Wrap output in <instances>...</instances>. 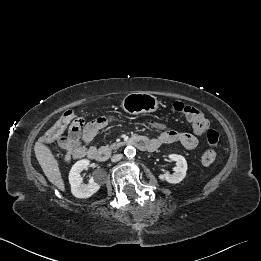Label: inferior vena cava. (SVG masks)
I'll list each match as a JSON object with an SVG mask.
<instances>
[{
    "instance_id": "inferior-vena-cava-1",
    "label": "inferior vena cava",
    "mask_w": 261,
    "mask_h": 261,
    "mask_svg": "<svg viewBox=\"0 0 261 261\" xmlns=\"http://www.w3.org/2000/svg\"><path fill=\"white\" fill-rule=\"evenodd\" d=\"M121 158H122V154H116V155L112 156L111 161L117 162V161L121 160Z\"/></svg>"
}]
</instances>
